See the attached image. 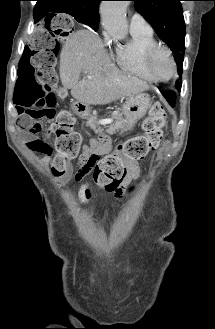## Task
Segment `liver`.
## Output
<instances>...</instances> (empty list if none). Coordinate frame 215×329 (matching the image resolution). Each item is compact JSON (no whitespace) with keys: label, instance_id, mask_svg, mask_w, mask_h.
<instances>
[{"label":"liver","instance_id":"obj_1","mask_svg":"<svg viewBox=\"0 0 215 329\" xmlns=\"http://www.w3.org/2000/svg\"><path fill=\"white\" fill-rule=\"evenodd\" d=\"M81 72L83 79L79 81ZM59 73L63 87L87 105L107 104L149 89L146 82L122 73L111 62L100 38L88 30H79L66 39Z\"/></svg>","mask_w":215,"mask_h":329}]
</instances>
